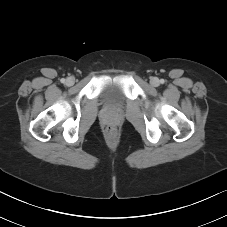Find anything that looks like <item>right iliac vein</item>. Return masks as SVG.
<instances>
[{"instance_id": "63e3f726", "label": "right iliac vein", "mask_w": 227, "mask_h": 227, "mask_svg": "<svg viewBox=\"0 0 227 227\" xmlns=\"http://www.w3.org/2000/svg\"><path fill=\"white\" fill-rule=\"evenodd\" d=\"M65 83L67 86H72L74 84V78L72 77L67 78Z\"/></svg>"}]
</instances>
